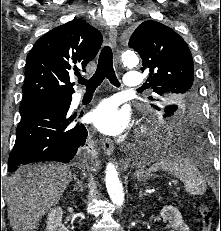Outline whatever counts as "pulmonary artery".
Instances as JSON below:
<instances>
[{
  "mask_svg": "<svg viewBox=\"0 0 221 231\" xmlns=\"http://www.w3.org/2000/svg\"><path fill=\"white\" fill-rule=\"evenodd\" d=\"M144 82V76L137 71H129L127 72L123 85L125 88H138ZM81 98V94H77L74 98L73 103L77 104Z\"/></svg>",
  "mask_w": 221,
  "mask_h": 231,
  "instance_id": "e3ab8cb5",
  "label": "pulmonary artery"
}]
</instances>
